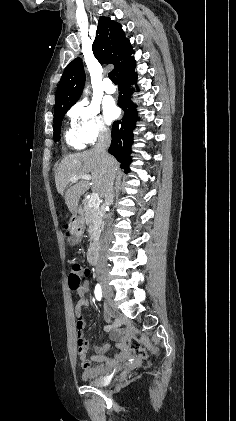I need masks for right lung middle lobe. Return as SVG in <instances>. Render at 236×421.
<instances>
[{
	"label": "right lung middle lobe",
	"mask_w": 236,
	"mask_h": 421,
	"mask_svg": "<svg viewBox=\"0 0 236 421\" xmlns=\"http://www.w3.org/2000/svg\"><path fill=\"white\" fill-rule=\"evenodd\" d=\"M70 106L61 107L54 110V124H53V130H54V141L60 140V129L62 120L64 118L65 113L71 108Z\"/></svg>",
	"instance_id": "right-lung-middle-lobe-1"
}]
</instances>
